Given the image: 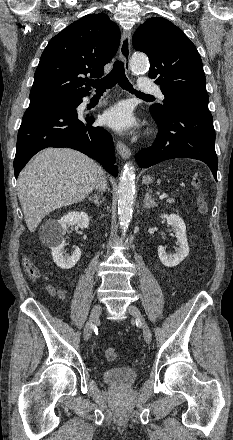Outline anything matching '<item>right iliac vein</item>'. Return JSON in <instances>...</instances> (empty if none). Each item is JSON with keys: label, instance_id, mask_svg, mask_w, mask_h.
I'll return each instance as SVG.
<instances>
[{"label": "right iliac vein", "instance_id": "1", "mask_svg": "<svg viewBox=\"0 0 233 440\" xmlns=\"http://www.w3.org/2000/svg\"><path fill=\"white\" fill-rule=\"evenodd\" d=\"M101 314V305L99 303L95 304L91 310L88 322L84 327L83 337L85 341H88L92 334L93 324L97 321Z\"/></svg>", "mask_w": 233, "mask_h": 440}]
</instances>
